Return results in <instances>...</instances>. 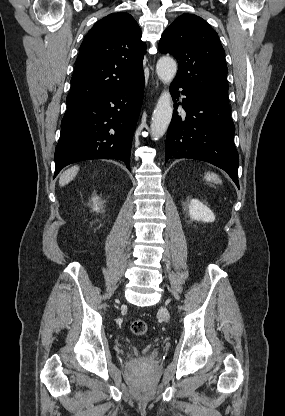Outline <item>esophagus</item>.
<instances>
[{
    "label": "esophagus",
    "mask_w": 285,
    "mask_h": 416,
    "mask_svg": "<svg viewBox=\"0 0 285 416\" xmlns=\"http://www.w3.org/2000/svg\"><path fill=\"white\" fill-rule=\"evenodd\" d=\"M156 84H157V86H159V83L158 82H156Z\"/></svg>",
    "instance_id": "obj_1"
}]
</instances>
